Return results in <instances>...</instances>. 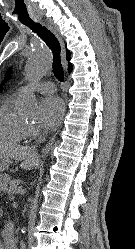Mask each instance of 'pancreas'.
<instances>
[{
  "instance_id": "obj_1",
  "label": "pancreas",
  "mask_w": 135,
  "mask_h": 249,
  "mask_svg": "<svg viewBox=\"0 0 135 249\" xmlns=\"http://www.w3.org/2000/svg\"><path fill=\"white\" fill-rule=\"evenodd\" d=\"M20 184V181L19 180H12L10 183H9V186L8 188L6 189L10 194L13 195V193L17 190L18 186Z\"/></svg>"
}]
</instances>
